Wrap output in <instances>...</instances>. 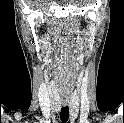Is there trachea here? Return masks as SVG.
<instances>
[{
	"mask_svg": "<svg viewBox=\"0 0 124 123\" xmlns=\"http://www.w3.org/2000/svg\"><path fill=\"white\" fill-rule=\"evenodd\" d=\"M60 118H61V121L64 123L68 121V118H69V107L68 106H64L61 108Z\"/></svg>",
	"mask_w": 124,
	"mask_h": 123,
	"instance_id": "obj_1",
	"label": "trachea"
}]
</instances>
